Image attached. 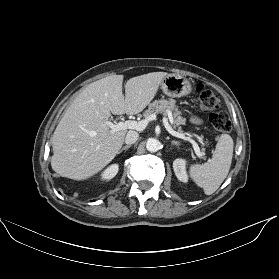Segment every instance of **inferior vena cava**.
Listing matches in <instances>:
<instances>
[{
  "label": "inferior vena cava",
  "instance_id": "602c4592",
  "mask_svg": "<svg viewBox=\"0 0 279 279\" xmlns=\"http://www.w3.org/2000/svg\"><path fill=\"white\" fill-rule=\"evenodd\" d=\"M139 138V134L136 131L130 130L125 137V143L128 145L134 144Z\"/></svg>",
  "mask_w": 279,
  "mask_h": 279
}]
</instances>
